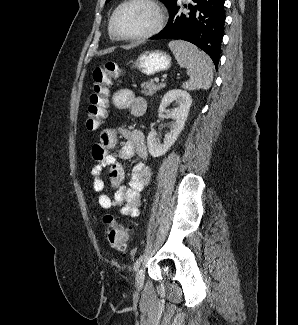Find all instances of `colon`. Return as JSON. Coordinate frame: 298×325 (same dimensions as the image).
<instances>
[{"mask_svg": "<svg viewBox=\"0 0 298 325\" xmlns=\"http://www.w3.org/2000/svg\"><path fill=\"white\" fill-rule=\"evenodd\" d=\"M121 75V67L114 62H107L104 66L93 70V92L86 115V127L89 131L98 130L107 115V96L112 80ZM106 225L105 239L115 250L125 252L128 247L129 234L125 227L119 225L111 214L103 217Z\"/></svg>", "mask_w": 298, "mask_h": 325, "instance_id": "colon-1", "label": "colon"}]
</instances>
